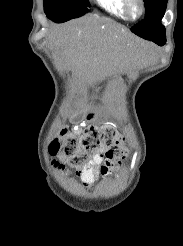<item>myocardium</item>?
<instances>
[{
  "instance_id": "f54148a6",
  "label": "myocardium",
  "mask_w": 183,
  "mask_h": 246,
  "mask_svg": "<svg viewBox=\"0 0 183 246\" xmlns=\"http://www.w3.org/2000/svg\"><path fill=\"white\" fill-rule=\"evenodd\" d=\"M136 6L138 12L136 15L132 13V7ZM124 10L126 16L129 20L137 21L139 20L145 13V4L143 0H124Z\"/></svg>"
}]
</instances>
